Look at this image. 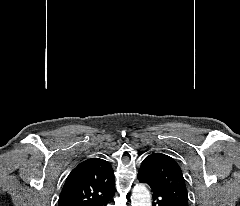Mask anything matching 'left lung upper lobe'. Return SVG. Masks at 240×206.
Listing matches in <instances>:
<instances>
[{
  "mask_svg": "<svg viewBox=\"0 0 240 206\" xmlns=\"http://www.w3.org/2000/svg\"><path fill=\"white\" fill-rule=\"evenodd\" d=\"M153 184L160 189L175 206H188V196L181 169L177 162L163 153H152L142 162Z\"/></svg>",
  "mask_w": 240,
  "mask_h": 206,
  "instance_id": "1",
  "label": "left lung upper lobe"
}]
</instances>
